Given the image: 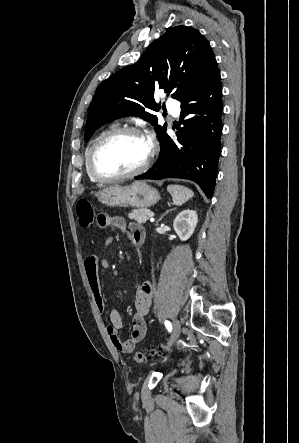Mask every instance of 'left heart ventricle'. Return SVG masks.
I'll return each instance as SVG.
<instances>
[{
    "instance_id": "obj_1",
    "label": "left heart ventricle",
    "mask_w": 299,
    "mask_h": 443,
    "mask_svg": "<svg viewBox=\"0 0 299 443\" xmlns=\"http://www.w3.org/2000/svg\"><path fill=\"white\" fill-rule=\"evenodd\" d=\"M148 151V141L142 136L121 135L99 148L95 156V166L104 175L122 174L141 165Z\"/></svg>"
}]
</instances>
